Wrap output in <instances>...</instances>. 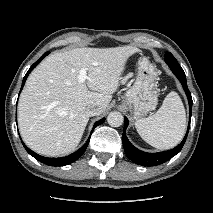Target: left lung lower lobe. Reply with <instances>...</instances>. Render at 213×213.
<instances>
[{
	"label": "left lung lower lobe",
	"instance_id": "left-lung-lower-lobe-1",
	"mask_svg": "<svg viewBox=\"0 0 213 213\" xmlns=\"http://www.w3.org/2000/svg\"><path fill=\"white\" fill-rule=\"evenodd\" d=\"M177 78L182 83V86H183L184 91L186 93V96L188 98L189 120H190L191 119L192 103H193L191 93H190V91L187 87L186 77L177 76ZM124 119H125V124H124V129H123L122 141H123V147H124L125 153H126L127 157L130 160H132L134 163L139 164L141 166H147V167L160 165V164L170 160L176 154H178L180 152V150L182 149L185 141H186V138H187V135H188V132H189V128H190V121H189L188 129H187V132H186L184 139L175 148L168 150V151L159 152V153H147V152H143V151L137 149L136 147H134L130 143V141L128 140L126 133H125L129 121L126 117Z\"/></svg>",
	"mask_w": 213,
	"mask_h": 213
}]
</instances>
